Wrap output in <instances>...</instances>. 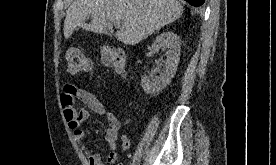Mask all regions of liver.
I'll list each match as a JSON object with an SVG mask.
<instances>
[{
  "instance_id": "6515ba94",
  "label": "liver",
  "mask_w": 276,
  "mask_h": 165,
  "mask_svg": "<svg viewBox=\"0 0 276 165\" xmlns=\"http://www.w3.org/2000/svg\"><path fill=\"white\" fill-rule=\"evenodd\" d=\"M182 14L177 0H74L66 12L64 37L68 39L78 26L102 33L107 21H118L117 40L135 45ZM88 15L92 20L86 24Z\"/></svg>"
}]
</instances>
